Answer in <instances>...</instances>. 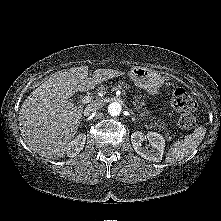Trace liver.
Returning a JSON list of instances; mask_svg holds the SVG:
<instances>
[{
  "label": "liver",
  "instance_id": "obj_1",
  "mask_svg": "<svg viewBox=\"0 0 221 221\" xmlns=\"http://www.w3.org/2000/svg\"><path fill=\"white\" fill-rule=\"evenodd\" d=\"M113 69H96L88 77V66L58 71L37 87L19 111V129L28 147L42 157L58 159L65 155L77 134L83 106L68 99L96 85L122 75Z\"/></svg>",
  "mask_w": 221,
  "mask_h": 221
}]
</instances>
